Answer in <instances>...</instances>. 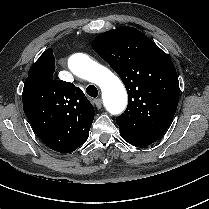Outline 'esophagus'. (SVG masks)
I'll use <instances>...</instances> for the list:
<instances>
[{
	"label": "esophagus",
	"instance_id": "34e87169",
	"mask_svg": "<svg viewBox=\"0 0 209 209\" xmlns=\"http://www.w3.org/2000/svg\"><path fill=\"white\" fill-rule=\"evenodd\" d=\"M94 104L98 109H100L102 107V100L100 98H96L94 99Z\"/></svg>",
	"mask_w": 209,
	"mask_h": 209
}]
</instances>
